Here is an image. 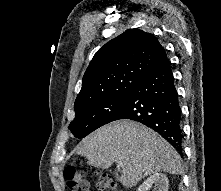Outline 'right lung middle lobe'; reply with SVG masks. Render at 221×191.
Returning a JSON list of instances; mask_svg holds the SVG:
<instances>
[{
	"label": "right lung middle lobe",
	"mask_w": 221,
	"mask_h": 191,
	"mask_svg": "<svg viewBox=\"0 0 221 191\" xmlns=\"http://www.w3.org/2000/svg\"><path fill=\"white\" fill-rule=\"evenodd\" d=\"M131 91L88 105L75 111L69 129L75 137L83 138L97 128L115 121L126 104Z\"/></svg>",
	"instance_id": "1"
}]
</instances>
